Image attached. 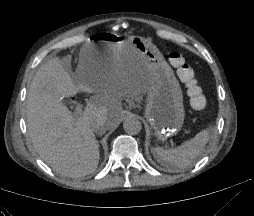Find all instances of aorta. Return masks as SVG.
Listing matches in <instances>:
<instances>
[{"label":"aorta","instance_id":"obj_1","mask_svg":"<svg viewBox=\"0 0 254 216\" xmlns=\"http://www.w3.org/2000/svg\"><path fill=\"white\" fill-rule=\"evenodd\" d=\"M123 129L129 135H136L140 133L142 125L137 118L130 116L124 120Z\"/></svg>","mask_w":254,"mask_h":216}]
</instances>
